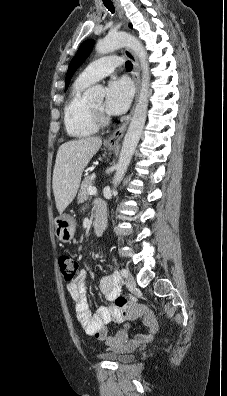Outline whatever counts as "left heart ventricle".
Here are the masks:
<instances>
[{
	"label": "left heart ventricle",
	"mask_w": 227,
	"mask_h": 396,
	"mask_svg": "<svg viewBox=\"0 0 227 396\" xmlns=\"http://www.w3.org/2000/svg\"><path fill=\"white\" fill-rule=\"evenodd\" d=\"M92 105H93L94 107H96V108L102 109V102H101V101L96 102V103H93Z\"/></svg>",
	"instance_id": "obj_1"
}]
</instances>
